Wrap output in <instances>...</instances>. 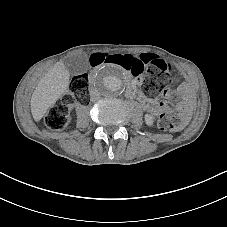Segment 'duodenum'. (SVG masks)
Segmentation results:
<instances>
[{
	"mask_svg": "<svg viewBox=\"0 0 227 227\" xmlns=\"http://www.w3.org/2000/svg\"><path fill=\"white\" fill-rule=\"evenodd\" d=\"M130 89H131L133 94H136V90H135V85L134 84H131Z\"/></svg>",
	"mask_w": 227,
	"mask_h": 227,
	"instance_id": "410a0bca",
	"label": "duodenum"
}]
</instances>
